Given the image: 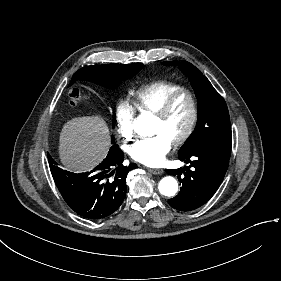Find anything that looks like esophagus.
Masks as SVG:
<instances>
[{"label": "esophagus", "mask_w": 281, "mask_h": 281, "mask_svg": "<svg viewBox=\"0 0 281 281\" xmlns=\"http://www.w3.org/2000/svg\"><path fill=\"white\" fill-rule=\"evenodd\" d=\"M148 171L152 174H163V170L162 169H152V168H148Z\"/></svg>", "instance_id": "34e87169"}]
</instances>
